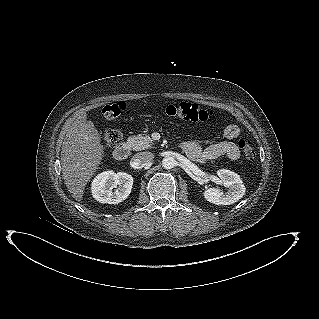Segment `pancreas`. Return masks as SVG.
I'll return each instance as SVG.
<instances>
[{
  "instance_id": "1",
  "label": "pancreas",
  "mask_w": 319,
  "mask_h": 319,
  "mask_svg": "<svg viewBox=\"0 0 319 319\" xmlns=\"http://www.w3.org/2000/svg\"><path fill=\"white\" fill-rule=\"evenodd\" d=\"M151 142L152 139L149 136H142L140 134L128 138V143L135 151L152 148Z\"/></svg>"
}]
</instances>
